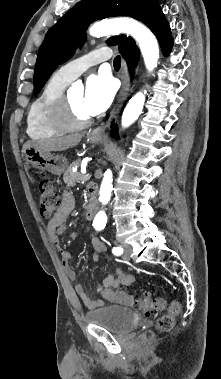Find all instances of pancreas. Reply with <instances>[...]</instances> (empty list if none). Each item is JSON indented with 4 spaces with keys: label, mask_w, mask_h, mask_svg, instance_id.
<instances>
[{
    "label": "pancreas",
    "mask_w": 221,
    "mask_h": 379,
    "mask_svg": "<svg viewBox=\"0 0 221 379\" xmlns=\"http://www.w3.org/2000/svg\"><path fill=\"white\" fill-rule=\"evenodd\" d=\"M80 159L72 162L70 166H68L67 170L64 173L63 180L67 184V186H74L79 180L83 179V175H81L79 172H73L72 167L73 166H79L80 165Z\"/></svg>",
    "instance_id": "cf45deb5"
}]
</instances>
